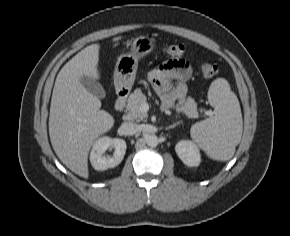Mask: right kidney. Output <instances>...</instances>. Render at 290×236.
I'll return each mask as SVG.
<instances>
[{"label":"right kidney","instance_id":"obj_1","mask_svg":"<svg viewBox=\"0 0 290 236\" xmlns=\"http://www.w3.org/2000/svg\"><path fill=\"white\" fill-rule=\"evenodd\" d=\"M126 142L119 138L104 136L99 138L93 145L90 153V162L95 170L104 171L120 164L126 152ZM114 148L112 157H106L105 151Z\"/></svg>","mask_w":290,"mask_h":236}]
</instances>
